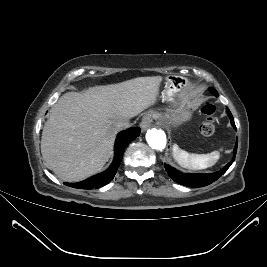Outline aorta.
<instances>
[{"label":"aorta","mask_w":267,"mask_h":267,"mask_svg":"<svg viewBox=\"0 0 267 267\" xmlns=\"http://www.w3.org/2000/svg\"><path fill=\"white\" fill-rule=\"evenodd\" d=\"M146 140L152 149L163 150L166 146V135L162 130H148L146 133Z\"/></svg>","instance_id":"obj_1"}]
</instances>
